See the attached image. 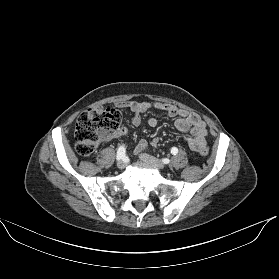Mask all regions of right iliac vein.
<instances>
[{
	"label": "right iliac vein",
	"instance_id": "1",
	"mask_svg": "<svg viewBox=\"0 0 279 279\" xmlns=\"http://www.w3.org/2000/svg\"><path fill=\"white\" fill-rule=\"evenodd\" d=\"M125 166H126V162H125L124 160L118 161L117 167H118L119 169H124Z\"/></svg>",
	"mask_w": 279,
	"mask_h": 279
}]
</instances>
